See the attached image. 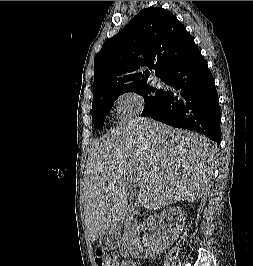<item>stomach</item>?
Returning a JSON list of instances; mask_svg holds the SVG:
<instances>
[{
	"instance_id": "obj_1",
	"label": "stomach",
	"mask_w": 253,
	"mask_h": 266,
	"mask_svg": "<svg viewBox=\"0 0 253 266\" xmlns=\"http://www.w3.org/2000/svg\"><path fill=\"white\" fill-rule=\"evenodd\" d=\"M100 245L106 249H110L113 247V243L108 242L106 237L101 238Z\"/></svg>"
}]
</instances>
